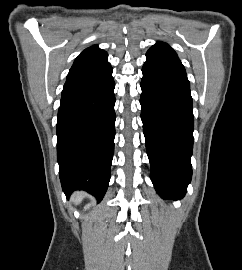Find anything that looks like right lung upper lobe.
<instances>
[{
    "instance_id": "right-lung-upper-lobe-1",
    "label": "right lung upper lobe",
    "mask_w": 242,
    "mask_h": 270,
    "mask_svg": "<svg viewBox=\"0 0 242 270\" xmlns=\"http://www.w3.org/2000/svg\"><path fill=\"white\" fill-rule=\"evenodd\" d=\"M108 54L99 49L97 45H93L85 49L74 61L68 75L67 80L78 77L88 71L96 68L107 60ZM66 80V81H67Z\"/></svg>"
}]
</instances>
